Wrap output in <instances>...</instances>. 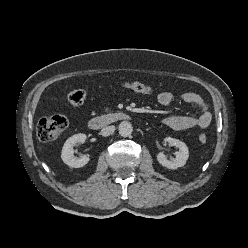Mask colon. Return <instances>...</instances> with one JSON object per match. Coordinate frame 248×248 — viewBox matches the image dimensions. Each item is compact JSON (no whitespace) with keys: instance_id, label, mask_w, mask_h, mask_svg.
<instances>
[{"instance_id":"5ec220e1","label":"colon","mask_w":248,"mask_h":248,"mask_svg":"<svg viewBox=\"0 0 248 248\" xmlns=\"http://www.w3.org/2000/svg\"><path fill=\"white\" fill-rule=\"evenodd\" d=\"M122 87L141 94H148L152 91L150 86L139 81L125 83ZM89 97L90 94L82 89L73 90L67 95L68 101L73 105H80ZM67 125L68 121L64 115L56 114L46 116L42 118L37 125V136L43 142L53 141L60 136V134L66 129ZM199 141L202 144L206 143V135L201 134L199 136Z\"/></svg>"}]
</instances>
